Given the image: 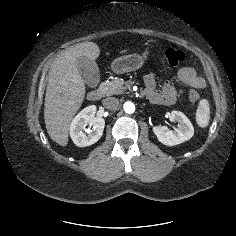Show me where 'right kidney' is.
<instances>
[{"instance_id":"ca27d5eb","label":"right kidney","mask_w":236,"mask_h":236,"mask_svg":"<svg viewBox=\"0 0 236 236\" xmlns=\"http://www.w3.org/2000/svg\"><path fill=\"white\" fill-rule=\"evenodd\" d=\"M96 106L90 105L79 112L70 125V136L79 147H86L96 143L102 136L105 121L102 117H95ZM92 126L91 130L84 132L85 127Z\"/></svg>"}]
</instances>
